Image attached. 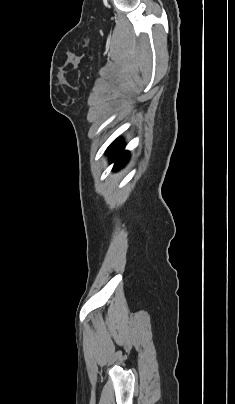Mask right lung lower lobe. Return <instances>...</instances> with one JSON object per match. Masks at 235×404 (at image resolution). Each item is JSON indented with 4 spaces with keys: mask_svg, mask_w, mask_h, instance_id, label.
Instances as JSON below:
<instances>
[{
    "mask_svg": "<svg viewBox=\"0 0 235 404\" xmlns=\"http://www.w3.org/2000/svg\"><path fill=\"white\" fill-rule=\"evenodd\" d=\"M124 147V143L116 141L107 150V153L110 155L111 162L115 161V165L113 168L114 170H119L128 161L129 153L128 151H123Z\"/></svg>",
    "mask_w": 235,
    "mask_h": 404,
    "instance_id": "right-lung-lower-lobe-1",
    "label": "right lung lower lobe"
}]
</instances>
